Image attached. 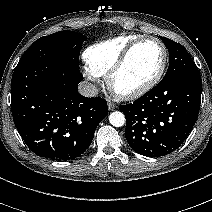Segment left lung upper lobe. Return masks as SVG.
<instances>
[{
	"instance_id": "obj_1",
	"label": "left lung upper lobe",
	"mask_w": 212,
	"mask_h": 212,
	"mask_svg": "<svg viewBox=\"0 0 212 212\" xmlns=\"http://www.w3.org/2000/svg\"><path fill=\"white\" fill-rule=\"evenodd\" d=\"M160 38L169 50L170 62L164 78L159 83H164L179 74L197 69L185 47L168 38L161 36Z\"/></svg>"
}]
</instances>
